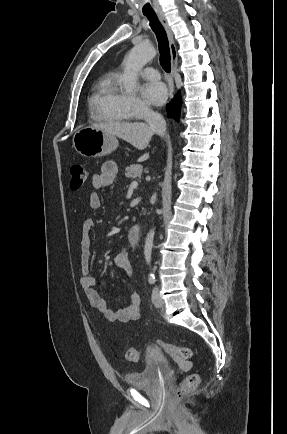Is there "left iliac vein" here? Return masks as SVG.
Here are the masks:
<instances>
[{"label":"left iliac vein","mask_w":287,"mask_h":434,"mask_svg":"<svg viewBox=\"0 0 287 434\" xmlns=\"http://www.w3.org/2000/svg\"><path fill=\"white\" fill-rule=\"evenodd\" d=\"M152 302H153V304H154L155 307L159 308V307L163 306V300H162V298L160 296L158 288H155L153 290V293H152Z\"/></svg>","instance_id":"obj_1"}]
</instances>
